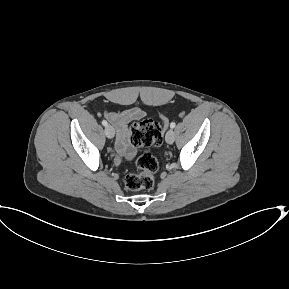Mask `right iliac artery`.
Wrapping results in <instances>:
<instances>
[{
    "label": "right iliac artery",
    "instance_id": "right-iliac-artery-1",
    "mask_svg": "<svg viewBox=\"0 0 289 289\" xmlns=\"http://www.w3.org/2000/svg\"><path fill=\"white\" fill-rule=\"evenodd\" d=\"M102 125H103V126H107V125H108L107 121H106V120H103V121H102Z\"/></svg>",
    "mask_w": 289,
    "mask_h": 289
}]
</instances>
